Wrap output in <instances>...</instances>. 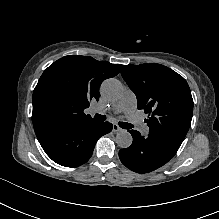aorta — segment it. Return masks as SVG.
Instances as JSON below:
<instances>
[{"label": "aorta", "mask_w": 219, "mask_h": 219, "mask_svg": "<svg viewBox=\"0 0 219 219\" xmlns=\"http://www.w3.org/2000/svg\"><path fill=\"white\" fill-rule=\"evenodd\" d=\"M123 92L122 83L115 79L110 78L105 80L101 85V93L108 99L114 100L120 97ZM132 135L128 131H120L116 135V144L120 148H128L132 144Z\"/></svg>", "instance_id": "762f6f07"}]
</instances>
